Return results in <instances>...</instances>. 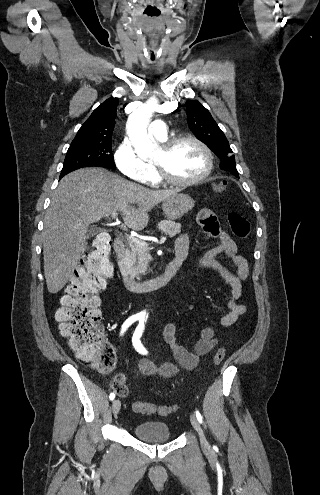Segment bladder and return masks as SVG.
<instances>
[{
    "mask_svg": "<svg viewBox=\"0 0 320 495\" xmlns=\"http://www.w3.org/2000/svg\"><path fill=\"white\" fill-rule=\"evenodd\" d=\"M135 436L148 443H165L171 438L169 426L160 421H147L134 427Z\"/></svg>",
    "mask_w": 320,
    "mask_h": 495,
    "instance_id": "1",
    "label": "bladder"
}]
</instances>
